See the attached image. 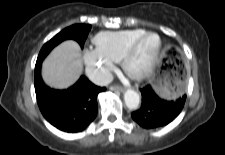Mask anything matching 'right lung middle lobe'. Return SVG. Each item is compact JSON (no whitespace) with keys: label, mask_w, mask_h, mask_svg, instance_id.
<instances>
[{"label":"right lung middle lobe","mask_w":225,"mask_h":155,"mask_svg":"<svg viewBox=\"0 0 225 155\" xmlns=\"http://www.w3.org/2000/svg\"><path fill=\"white\" fill-rule=\"evenodd\" d=\"M90 29L91 26L85 24H77L65 28L42 47L39 56L37 58V62L39 63L42 62L43 59L56 45L67 39H73L77 41L83 48V45L85 43V40L88 36Z\"/></svg>","instance_id":"1"}]
</instances>
